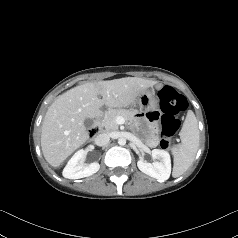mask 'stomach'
<instances>
[{
	"instance_id": "1",
	"label": "stomach",
	"mask_w": 238,
	"mask_h": 238,
	"mask_svg": "<svg viewBox=\"0 0 238 238\" xmlns=\"http://www.w3.org/2000/svg\"><path fill=\"white\" fill-rule=\"evenodd\" d=\"M158 100L155 95L148 89L144 90L133 103L141 111H147L151 107H157Z\"/></svg>"
}]
</instances>
